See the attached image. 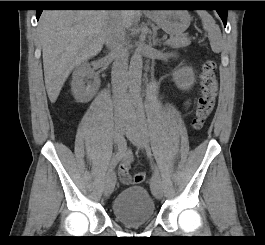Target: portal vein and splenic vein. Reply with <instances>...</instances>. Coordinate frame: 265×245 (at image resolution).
<instances>
[{"mask_svg":"<svg viewBox=\"0 0 265 245\" xmlns=\"http://www.w3.org/2000/svg\"><path fill=\"white\" fill-rule=\"evenodd\" d=\"M172 41V39H165V44H169Z\"/></svg>","mask_w":265,"mask_h":245,"instance_id":"1","label":"portal vein and splenic vein"}]
</instances>
